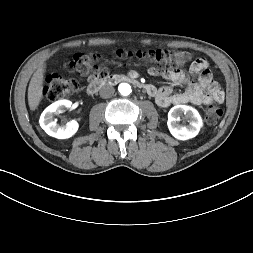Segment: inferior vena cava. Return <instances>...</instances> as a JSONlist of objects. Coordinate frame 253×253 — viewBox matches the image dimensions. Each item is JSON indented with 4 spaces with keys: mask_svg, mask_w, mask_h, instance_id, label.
Returning a JSON list of instances; mask_svg holds the SVG:
<instances>
[{
    "mask_svg": "<svg viewBox=\"0 0 253 253\" xmlns=\"http://www.w3.org/2000/svg\"><path fill=\"white\" fill-rule=\"evenodd\" d=\"M115 92V89L112 86H103L100 91V97L102 98H110Z\"/></svg>",
    "mask_w": 253,
    "mask_h": 253,
    "instance_id": "602c4592",
    "label": "inferior vena cava"
}]
</instances>
